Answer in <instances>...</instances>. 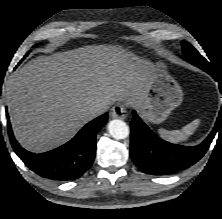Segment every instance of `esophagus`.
Returning a JSON list of instances; mask_svg holds the SVG:
<instances>
[{"label":"esophagus","mask_w":222,"mask_h":219,"mask_svg":"<svg viewBox=\"0 0 222 219\" xmlns=\"http://www.w3.org/2000/svg\"><path fill=\"white\" fill-rule=\"evenodd\" d=\"M111 115L113 118L123 120L127 117L128 113L125 106L123 104L118 103L112 108Z\"/></svg>","instance_id":"esophagus-1"}]
</instances>
